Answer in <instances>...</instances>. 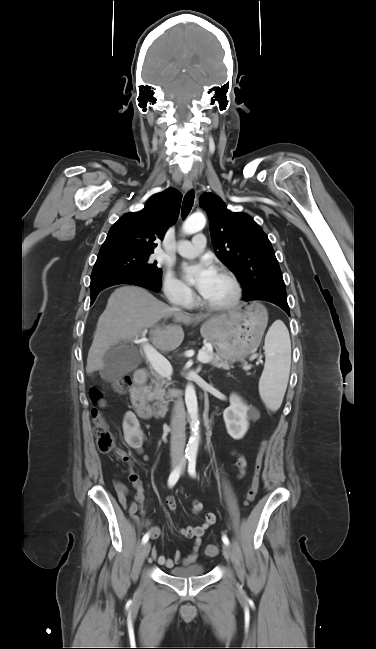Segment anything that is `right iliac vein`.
<instances>
[{
	"instance_id": "right-iliac-vein-1",
	"label": "right iliac vein",
	"mask_w": 376,
	"mask_h": 649,
	"mask_svg": "<svg viewBox=\"0 0 376 649\" xmlns=\"http://www.w3.org/2000/svg\"><path fill=\"white\" fill-rule=\"evenodd\" d=\"M177 463H178L177 461H173L172 462V468H175L177 466ZM150 549H151V544L149 542H146L144 544L143 548H142V551H141L142 560H145L147 558V556H148V554L150 552Z\"/></svg>"
}]
</instances>
